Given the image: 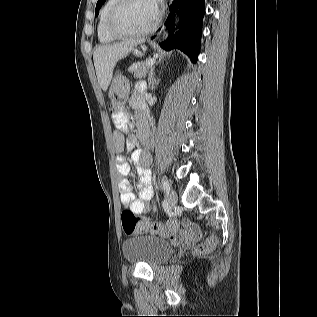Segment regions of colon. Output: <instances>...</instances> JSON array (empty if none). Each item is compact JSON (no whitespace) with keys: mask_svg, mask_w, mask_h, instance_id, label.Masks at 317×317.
I'll return each mask as SVG.
<instances>
[{"mask_svg":"<svg viewBox=\"0 0 317 317\" xmlns=\"http://www.w3.org/2000/svg\"><path fill=\"white\" fill-rule=\"evenodd\" d=\"M129 94V84L125 76L116 74L109 87V99L112 114L124 112V107ZM121 224L124 232L128 235L150 230L162 236H171L179 228L176 220L168 223H150L144 218L136 216L131 210H124L121 213ZM217 245V238L210 236L196 247L198 254H207Z\"/></svg>","mask_w":317,"mask_h":317,"instance_id":"obj_1","label":"colon"}]
</instances>
